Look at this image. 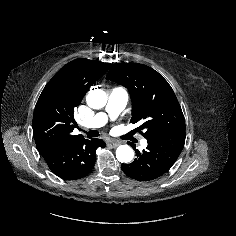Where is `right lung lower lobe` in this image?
Instances as JSON below:
<instances>
[{
  "label": "right lung lower lobe",
  "instance_id": "98d812e1",
  "mask_svg": "<svg viewBox=\"0 0 236 236\" xmlns=\"http://www.w3.org/2000/svg\"><path fill=\"white\" fill-rule=\"evenodd\" d=\"M105 146L103 140L82 138L68 145H50L38 150L55 175L64 180H77L92 171L96 149Z\"/></svg>",
  "mask_w": 236,
  "mask_h": 236
}]
</instances>
